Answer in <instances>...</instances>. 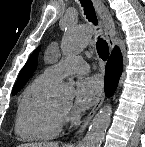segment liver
Segmentation results:
<instances>
[{
  "label": "liver",
  "mask_w": 145,
  "mask_h": 147,
  "mask_svg": "<svg viewBox=\"0 0 145 147\" xmlns=\"http://www.w3.org/2000/svg\"><path fill=\"white\" fill-rule=\"evenodd\" d=\"M19 147H59L57 142H42L22 144Z\"/></svg>",
  "instance_id": "1"
}]
</instances>
